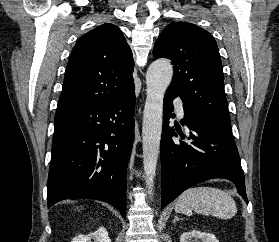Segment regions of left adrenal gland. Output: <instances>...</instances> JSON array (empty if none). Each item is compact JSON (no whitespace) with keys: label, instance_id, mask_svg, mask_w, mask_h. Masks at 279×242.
Listing matches in <instances>:
<instances>
[{"label":"left adrenal gland","instance_id":"1","mask_svg":"<svg viewBox=\"0 0 279 242\" xmlns=\"http://www.w3.org/2000/svg\"><path fill=\"white\" fill-rule=\"evenodd\" d=\"M179 218L177 216L174 217V223H176V221H178Z\"/></svg>","mask_w":279,"mask_h":242}]
</instances>
